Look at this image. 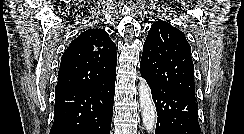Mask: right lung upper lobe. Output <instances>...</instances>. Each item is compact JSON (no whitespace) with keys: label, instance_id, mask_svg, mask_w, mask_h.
<instances>
[{"label":"right lung upper lobe","instance_id":"right-lung-upper-lobe-1","mask_svg":"<svg viewBox=\"0 0 244 134\" xmlns=\"http://www.w3.org/2000/svg\"><path fill=\"white\" fill-rule=\"evenodd\" d=\"M116 45L105 30L90 28L74 39L61 58L55 93L94 87L116 76Z\"/></svg>","mask_w":244,"mask_h":134}]
</instances>
